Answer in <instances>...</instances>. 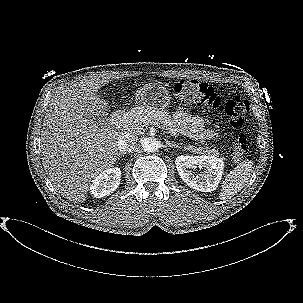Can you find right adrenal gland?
Wrapping results in <instances>:
<instances>
[{
	"mask_svg": "<svg viewBox=\"0 0 303 303\" xmlns=\"http://www.w3.org/2000/svg\"><path fill=\"white\" fill-rule=\"evenodd\" d=\"M122 154H118V159H119V157L121 156Z\"/></svg>",
	"mask_w": 303,
	"mask_h": 303,
	"instance_id": "1",
	"label": "right adrenal gland"
}]
</instances>
